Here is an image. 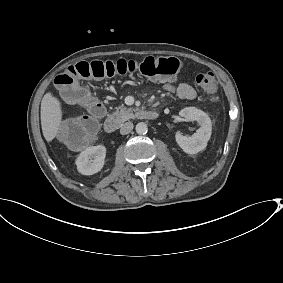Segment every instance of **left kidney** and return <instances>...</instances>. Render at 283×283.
Instances as JSON below:
<instances>
[{
    "label": "left kidney",
    "instance_id": "left-kidney-1",
    "mask_svg": "<svg viewBox=\"0 0 283 283\" xmlns=\"http://www.w3.org/2000/svg\"><path fill=\"white\" fill-rule=\"evenodd\" d=\"M179 115L188 121H197L201 127L191 137L176 132L175 138L178 145L188 154H196L204 150L212 133L210 117L195 107H186L179 112Z\"/></svg>",
    "mask_w": 283,
    "mask_h": 283
}]
</instances>
